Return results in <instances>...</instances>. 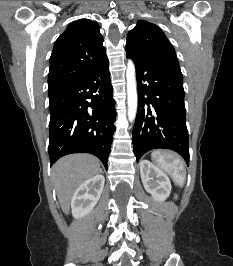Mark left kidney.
<instances>
[{"label": "left kidney", "mask_w": 233, "mask_h": 266, "mask_svg": "<svg viewBox=\"0 0 233 266\" xmlns=\"http://www.w3.org/2000/svg\"><path fill=\"white\" fill-rule=\"evenodd\" d=\"M140 173L143 186L153 199L165 201L171 192V183L168 176L148 160L140 163Z\"/></svg>", "instance_id": "1"}]
</instances>
